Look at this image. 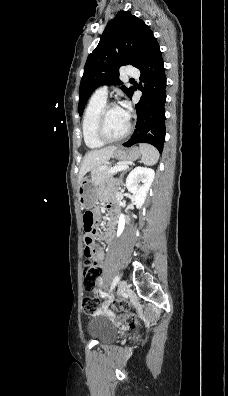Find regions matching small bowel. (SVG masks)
Listing matches in <instances>:
<instances>
[{
    "instance_id": "small-bowel-1",
    "label": "small bowel",
    "mask_w": 228,
    "mask_h": 396,
    "mask_svg": "<svg viewBox=\"0 0 228 396\" xmlns=\"http://www.w3.org/2000/svg\"><path fill=\"white\" fill-rule=\"evenodd\" d=\"M107 189V188H106ZM105 189V190H106ZM107 210H108V220L112 221L115 218V207L113 205V201L110 198H107ZM94 213L98 214L99 213V209H95L93 211ZM107 236L109 234H106ZM93 256L95 261L97 262V264H99V266L102 265V262L104 260V252L101 249L98 248H94L93 249ZM103 284V280L101 277H99L97 279V285L98 287H101ZM110 304V301H108L105 305H104V309L106 310L108 305Z\"/></svg>"
}]
</instances>
